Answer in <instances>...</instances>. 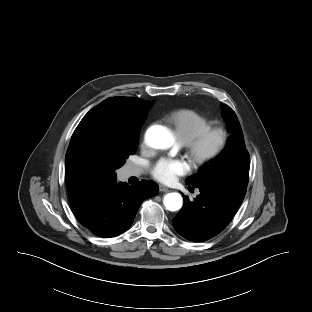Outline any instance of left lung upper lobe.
Here are the masks:
<instances>
[{"label": "left lung upper lobe", "instance_id": "obj_1", "mask_svg": "<svg viewBox=\"0 0 312 312\" xmlns=\"http://www.w3.org/2000/svg\"><path fill=\"white\" fill-rule=\"evenodd\" d=\"M223 117L228 129L232 132L225 150L204 165L198 174L188 178L186 183L194 187L219 189L241 204L249 179V153L235 112L230 107L224 106Z\"/></svg>", "mask_w": 312, "mask_h": 312}]
</instances>
